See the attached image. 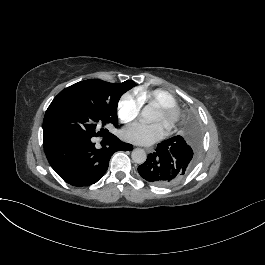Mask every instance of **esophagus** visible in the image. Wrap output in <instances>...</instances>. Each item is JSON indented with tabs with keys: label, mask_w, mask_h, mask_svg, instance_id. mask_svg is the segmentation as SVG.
<instances>
[{
	"label": "esophagus",
	"mask_w": 265,
	"mask_h": 265,
	"mask_svg": "<svg viewBox=\"0 0 265 265\" xmlns=\"http://www.w3.org/2000/svg\"><path fill=\"white\" fill-rule=\"evenodd\" d=\"M146 151H147V152H150V150H149V149H146Z\"/></svg>",
	"instance_id": "esophagus-1"
}]
</instances>
